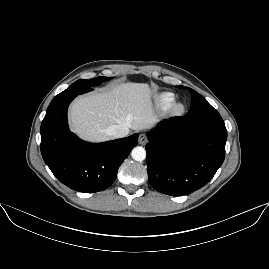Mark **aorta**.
Returning a JSON list of instances; mask_svg holds the SVG:
<instances>
[{
	"label": "aorta",
	"mask_w": 269,
	"mask_h": 269,
	"mask_svg": "<svg viewBox=\"0 0 269 269\" xmlns=\"http://www.w3.org/2000/svg\"><path fill=\"white\" fill-rule=\"evenodd\" d=\"M131 156L135 161L141 162L146 158V151L142 147H135L131 152Z\"/></svg>",
	"instance_id": "obj_1"
}]
</instances>
